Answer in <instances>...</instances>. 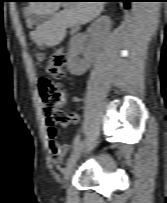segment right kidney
Listing matches in <instances>:
<instances>
[{
	"instance_id": "right-kidney-1",
	"label": "right kidney",
	"mask_w": 167,
	"mask_h": 203,
	"mask_svg": "<svg viewBox=\"0 0 167 203\" xmlns=\"http://www.w3.org/2000/svg\"><path fill=\"white\" fill-rule=\"evenodd\" d=\"M111 29V20L108 16H101L91 24V32L96 33L98 36L105 38ZM86 37L79 33L70 43L69 56L67 67L71 74L82 75L89 69L91 63L95 58L96 45L90 49L84 48V41ZM83 57L80 58L79 56Z\"/></svg>"
}]
</instances>
